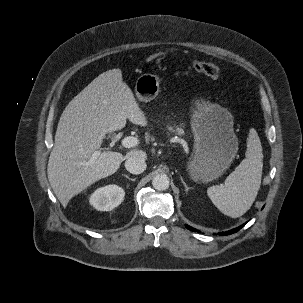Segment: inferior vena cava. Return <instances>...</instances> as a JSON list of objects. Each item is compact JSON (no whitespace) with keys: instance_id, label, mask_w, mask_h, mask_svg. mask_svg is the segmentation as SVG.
Returning <instances> with one entry per match:
<instances>
[{"instance_id":"602c4592","label":"inferior vena cava","mask_w":303,"mask_h":303,"mask_svg":"<svg viewBox=\"0 0 303 303\" xmlns=\"http://www.w3.org/2000/svg\"><path fill=\"white\" fill-rule=\"evenodd\" d=\"M125 168L132 174H141L146 169L145 159L142 157H132L125 161Z\"/></svg>"}]
</instances>
